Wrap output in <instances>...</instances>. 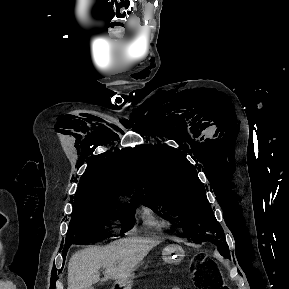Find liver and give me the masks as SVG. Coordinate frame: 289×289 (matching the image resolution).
<instances>
[{
    "label": "liver",
    "instance_id": "6515ba94",
    "mask_svg": "<svg viewBox=\"0 0 289 289\" xmlns=\"http://www.w3.org/2000/svg\"><path fill=\"white\" fill-rule=\"evenodd\" d=\"M157 244L158 240L123 238L106 247L80 250L69 261L67 289H93L100 281L101 267L105 268V280L126 277Z\"/></svg>",
    "mask_w": 289,
    "mask_h": 289
}]
</instances>
